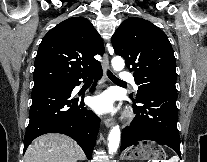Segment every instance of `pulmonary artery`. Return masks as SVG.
I'll list each match as a JSON object with an SVG mask.
<instances>
[{"label": "pulmonary artery", "instance_id": "e3ab8cb5", "mask_svg": "<svg viewBox=\"0 0 207 162\" xmlns=\"http://www.w3.org/2000/svg\"><path fill=\"white\" fill-rule=\"evenodd\" d=\"M121 78H122V81H123L124 83H132L133 86H134L135 88L138 87V86L134 83V81H133V77H132L131 74H129V73H124V74L121 75Z\"/></svg>", "mask_w": 207, "mask_h": 162}]
</instances>
